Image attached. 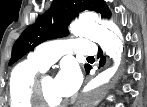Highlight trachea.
Segmentation results:
<instances>
[{
	"instance_id": "1",
	"label": "trachea",
	"mask_w": 147,
	"mask_h": 107,
	"mask_svg": "<svg viewBox=\"0 0 147 107\" xmlns=\"http://www.w3.org/2000/svg\"><path fill=\"white\" fill-rule=\"evenodd\" d=\"M87 58H88V59H94V57H93V56H88Z\"/></svg>"
}]
</instances>
